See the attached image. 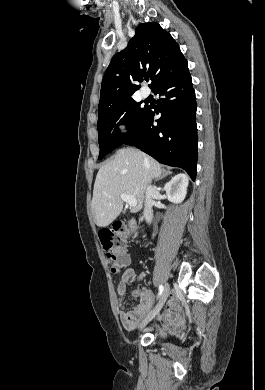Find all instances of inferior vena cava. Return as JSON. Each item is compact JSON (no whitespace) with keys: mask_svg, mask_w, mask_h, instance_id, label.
<instances>
[{"mask_svg":"<svg viewBox=\"0 0 265 390\" xmlns=\"http://www.w3.org/2000/svg\"><path fill=\"white\" fill-rule=\"evenodd\" d=\"M156 193V189L152 185H148L145 191V202H144V211L143 218H145L146 222L150 224L153 219V205H154V195Z\"/></svg>","mask_w":265,"mask_h":390,"instance_id":"inferior-vena-cava-1","label":"inferior vena cava"}]
</instances>
